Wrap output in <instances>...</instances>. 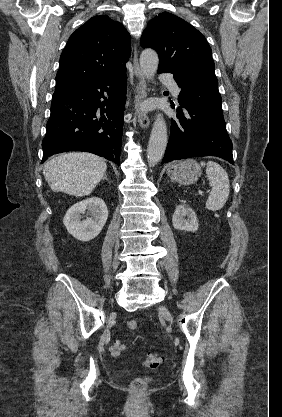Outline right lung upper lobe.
I'll use <instances>...</instances> for the list:
<instances>
[{
	"mask_svg": "<svg viewBox=\"0 0 282 417\" xmlns=\"http://www.w3.org/2000/svg\"><path fill=\"white\" fill-rule=\"evenodd\" d=\"M130 35L106 15L95 16L69 38L60 57L55 91L126 71Z\"/></svg>",
	"mask_w": 282,
	"mask_h": 417,
	"instance_id": "cb5924a9",
	"label": "right lung upper lobe"
}]
</instances>
